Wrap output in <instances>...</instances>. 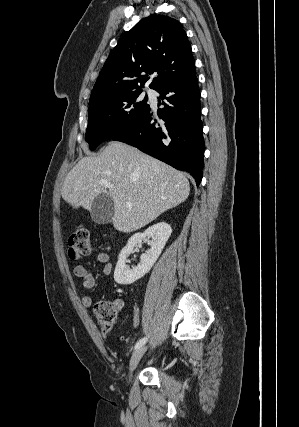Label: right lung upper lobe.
I'll list each match as a JSON object with an SVG mask.
<instances>
[{"instance_id": "right-lung-upper-lobe-1", "label": "right lung upper lobe", "mask_w": 299, "mask_h": 427, "mask_svg": "<svg viewBox=\"0 0 299 427\" xmlns=\"http://www.w3.org/2000/svg\"><path fill=\"white\" fill-rule=\"evenodd\" d=\"M153 73L158 75L149 85L154 90L195 73L191 46L181 24L160 14L143 19L120 38L100 72L89 105L142 91Z\"/></svg>"}]
</instances>
